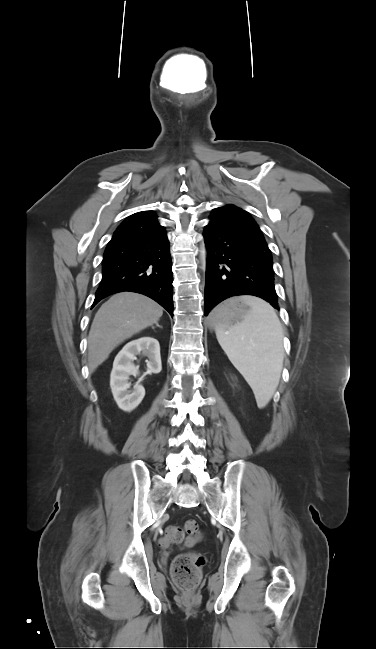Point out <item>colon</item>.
<instances>
[{
  "instance_id": "obj_1",
  "label": "colon",
  "mask_w": 376,
  "mask_h": 649,
  "mask_svg": "<svg viewBox=\"0 0 376 649\" xmlns=\"http://www.w3.org/2000/svg\"><path fill=\"white\" fill-rule=\"evenodd\" d=\"M199 534L198 523L188 520L183 525L169 526L161 542L164 546L181 544L187 537H196ZM205 558L199 553H184L178 555L171 566V575L175 584L185 591L193 590L199 582L201 568Z\"/></svg>"
}]
</instances>
